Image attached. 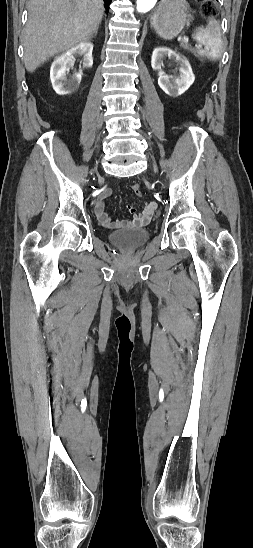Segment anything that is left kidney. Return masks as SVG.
<instances>
[{"label": "left kidney", "mask_w": 253, "mask_h": 548, "mask_svg": "<svg viewBox=\"0 0 253 548\" xmlns=\"http://www.w3.org/2000/svg\"><path fill=\"white\" fill-rule=\"evenodd\" d=\"M168 57L179 65V75L176 77L165 74L161 67L163 59ZM153 70L159 71L158 85L169 96L176 97L183 94L194 82L195 76L192 72L189 61L176 52L160 47L153 51L151 58Z\"/></svg>", "instance_id": "left-kidney-1"}]
</instances>
